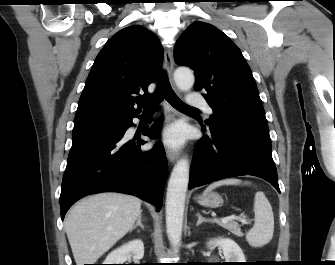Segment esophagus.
Returning a JSON list of instances; mask_svg holds the SVG:
<instances>
[{"instance_id":"esophagus-1","label":"esophagus","mask_w":335,"mask_h":265,"mask_svg":"<svg viewBox=\"0 0 335 265\" xmlns=\"http://www.w3.org/2000/svg\"><path fill=\"white\" fill-rule=\"evenodd\" d=\"M164 67L169 77L170 83L172 87H175L174 80H173V70H174V60H173V51L172 48H166L164 52ZM167 110L170 113V107L167 106ZM167 158L170 162H175L179 154L176 150L167 149L166 150Z\"/></svg>"}]
</instances>
